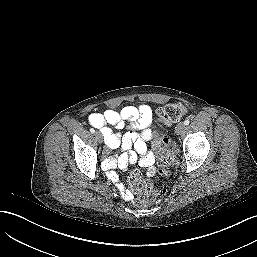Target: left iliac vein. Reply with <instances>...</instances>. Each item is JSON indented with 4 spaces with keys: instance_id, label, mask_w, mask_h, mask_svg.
Here are the masks:
<instances>
[{
    "instance_id": "obj_1",
    "label": "left iliac vein",
    "mask_w": 257,
    "mask_h": 257,
    "mask_svg": "<svg viewBox=\"0 0 257 257\" xmlns=\"http://www.w3.org/2000/svg\"><path fill=\"white\" fill-rule=\"evenodd\" d=\"M185 124H183V123H179L177 126H176V128H175V132H176V134H178V135H180V134H182L184 131H185Z\"/></svg>"
}]
</instances>
